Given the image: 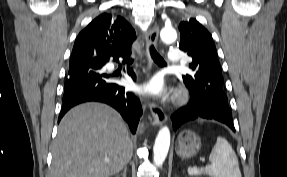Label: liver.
<instances>
[{
    "instance_id": "1",
    "label": "liver",
    "mask_w": 287,
    "mask_h": 177,
    "mask_svg": "<svg viewBox=\"0 0 287 177\" xmlns=\"http://www.w3.org/2000/svg\"><path fill=\"white\" fill-rule=\"evenodd\" d=\"M51 152L48 177H109L131 160L133 144L117 111L85 103L62 118Z\"/></svg>"
}]
</instances>
